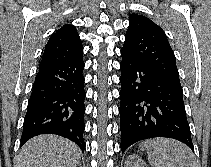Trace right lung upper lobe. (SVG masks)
<instances>
[{
	"mask_svg": "<svg viewBox=\"0 0 211 167\" xmlns=\"http://www.w3.org/2000/svg\"><path fill=\"white\" fill-rule=\"evenodd\" d=\"M83 55V46L74 26L65 24L53 33L45 46L39 69L69 62Z\"/></svg>",
	"mask_w": 211,
	"mask_h": 167,
	"instance_id": "cb5924a9",
	"label": "right lung upper lobe"
}]
</instances>
